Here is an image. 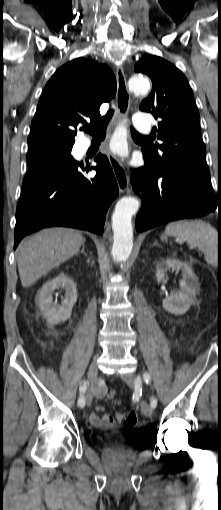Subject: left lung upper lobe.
Instances as JSON below:
<instances>
[{
    "label": "left lung upper lobe",
    "mask_w": 221,
    "mask_h": 510,
    "mask_svg": "<svg viewBox=\"0 0 221 510\" xmlns=\"http://www.w3.org/2000/svg\"><path fill=\"white\" fill-rule=\"evenodd\" d=\"M134 70L147 74L153 83L140 110L161 119L155 134L162 143L143 148L153 167L210 179L199 112L186 77L173 64L154 55L141 59Z\"/></svg>",
    "instance_id": "5c2ea615"
}]
</instances>
